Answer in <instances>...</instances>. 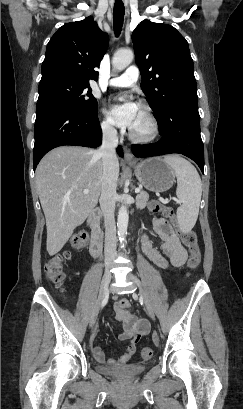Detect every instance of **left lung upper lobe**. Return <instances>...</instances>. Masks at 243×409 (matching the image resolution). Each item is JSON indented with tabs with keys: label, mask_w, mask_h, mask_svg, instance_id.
Instances as JSON below:
<instances>
[{
	"label": "left lung upper lobe",
	"mask_w": 243,
	"mask_h": 409,
	"mask_svg": "<svg viewBox=\"0 0 243 409\" xmlns=\"http://www.w3.org/2000/svg\"><path fill=\"white\" fill-rule=\"evenodd\" d=\"M141 89L156 119L177 103L197 98L188 42L171 25L142 21L132 33Z\"/></svg>",
	"instance_id": "5c2ea615"
}]
</instances>
